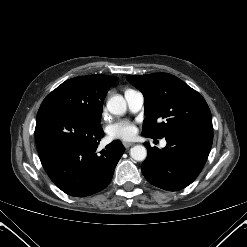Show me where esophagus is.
<instances>
[{
    "label": "esophagus",
    "mask_w": 247,
    "mask_h": 247,
    "mask_svg": "<svg viewBox=\"0 0 247 247\" xmlns=\"http://www.w3.org/2000/svg\"><path fill=\"white\" fill-rule=\"evenodd\" d=\"M123 145H124L125 148H129V147H131L133 145V143H131V142H123Z\"/></svg>",
    "instance_id": "34e87169"
}]
</instances>
